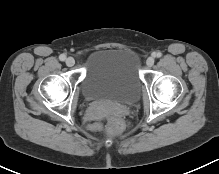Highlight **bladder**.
<instances>
[{"label": "bladder", "mask_w": 219, "mask_h": 174, "mask_svg": "<svg viewBox=\"0 0 219 174\" xmlns=\"http://www.w3.org/2000/svg\"><path fill=\"white\" fill-rule=\"evenodd\" d=\"M141 89L139 61L134 51L102 48L90 54L80 83L84 99L130 104L139 98Z\"/></svg>", "instance_id": "obj_1"}]
</instances>
